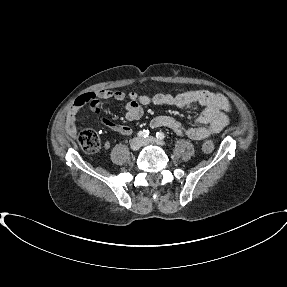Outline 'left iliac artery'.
I'll list each match as a JSON object with an SVG mask.
<instances>
[{"label": "left iliac artery", "instance_id": "1", "mask_svg": "<svg viewBox=\"0 0 287 287\" xmlns=\"http://www.w3.org/2000/svg\"><path fill=\"white\" fill-rule=\"evenodd\" d=\"M156 137H157V139H159V140H163V139L165 138V135H164L163 132H157V133H156Z\"/></svg>", "mask_w": 287, "mask_h": 287}]
</instances>
